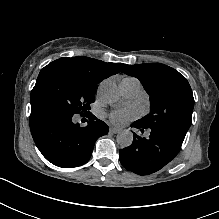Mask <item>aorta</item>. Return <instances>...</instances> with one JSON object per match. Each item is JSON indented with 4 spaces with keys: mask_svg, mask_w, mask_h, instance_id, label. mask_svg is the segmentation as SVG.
<instances>
[{
    "mask_svg": "<svg viewBox=\"0 0 219 219\" xmlns=\"http://www.w3.org/2000/svg\"><path fill=\"white\" fill-rule=\"evenodd\" d=\"M100 94L102 99L110 105L116 104L120 99L116 84L111 81L102 84ZM116 141L122 148L128 147L132 144L133 134L129 130H123L117 134Z\"/></svg>",
    "mask_w": 219,
    "mask_h": 219,
    "instance_id": "762f6f07",
    "label": "aorta"
}]
</instances>
